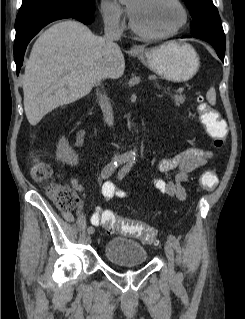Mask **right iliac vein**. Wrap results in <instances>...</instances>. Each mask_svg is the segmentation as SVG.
Segmentation results:
<instances>
[{
  "label": "right iliac vein",
  "instance_id": "1",
  "mask_svg": "<svg viewBox=\"0 0 245 319\" xmlns=\"http://www.w3.org/2000/svg\"><path fill=\"white\" fill-rule=\"evenodd\" d=\"M90 239H91V237H90V236H87V240L90 241Z\"/></svg>",
  "mask_w": 245,
  "mask_h": 319
}]
</instances>
